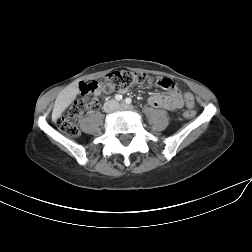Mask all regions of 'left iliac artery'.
I'll use <instances>...</instances> for the list:
<instances>
[{
  "label": "left iliac artery",
  "mask_w": 252,
  "mask_h": 252,
  "mask_svg": "<svg viewBox=\"0 0 252 252\" xmlns=\"http://www.w3.org/2000/svg\"><path fill=\"white\" fill-rule=\"evenodd\" d=\"M131 102H132L131 98L127 97V98L125 99V103H126V104H131Z\"/></svg>",
  "instance_id": "1"
}]
</instances>
